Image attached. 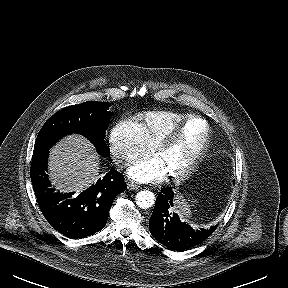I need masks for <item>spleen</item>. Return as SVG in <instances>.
<instances>
[{
	"instance_id": "1",
	"label": "spleen",
	"mask_w": 288,
	"mask_h": 288,
	"mask_svg": "<svg viewBox=\"0 0 288 288\" xmlns=\"http://www.w3.org/2000/svg\"><path fill=\"white\" fill-rule=\"evenodd\" d=\"M174 204L175 205L173 210L180 216L183 221L191 217L190 204L183 195H176L174 198Z\"/></svg>"
}]
</instances>
